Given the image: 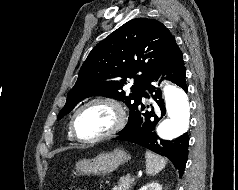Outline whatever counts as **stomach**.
Here are the masks:
<instances>
[{"label": "stomach", "mask_w": 238, "mask_h": 190, "mask_svg": "<svg viewBox=\"0 0 238 190\" xmlns=\"http://www.w3.org/2000/svg\"><path fill=\"white\" fill-rule=\"evenodd\" d=\"M131 156L122 149L109 153H100L94 159H82L77 162L76 170L81 175H107L130 160Z\"/></svg>", "instance_id": "obj_1"}]
</instances>
